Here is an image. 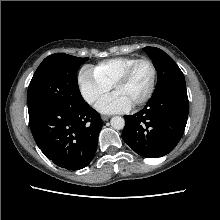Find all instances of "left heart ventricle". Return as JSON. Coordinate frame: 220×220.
<instances>
[{
	"mask_svg": "<svg viewBox=\"0 0 220 220\" xmlns=\"http://www.w3.org/2000/svg\"><path fill=\"white\" fill-rule=\"evenodd\" d=\"M152 79V70L148 63H141L135 69L131 78L119 86L115 93L125 98L132 106L141 100L148 92Z\"/></svg>",
	"mask_w": 220,
	"mask_h": 220,
	"instance_id": "obj_1",
	"label": "left heart ventricle"
}]
</instances>
